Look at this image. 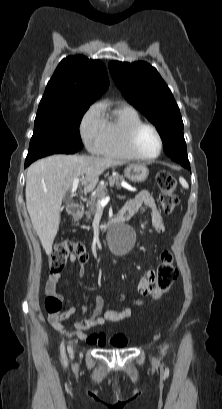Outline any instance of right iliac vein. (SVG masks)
<instances>
[{"mask_svg":"<svg viewBox=\"0 0 222 409\" xmlns=\"http://www.w3.org/2000/svg\"><path fill=\"white\" fill-rule=\"evenodd\" d=\"M68 351H69L70 356L73 357L74 352H73V347L72 346H69Z\"/></svg>","mask_w":222,"mask_h":409,"instance_id":"1","label":"right iliac vein"}]
</instances>
